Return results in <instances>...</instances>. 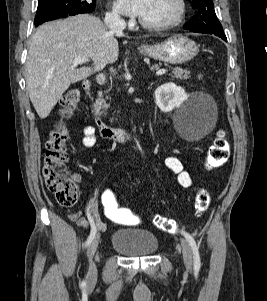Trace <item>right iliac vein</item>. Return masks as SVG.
<instances>
[{
	"label": "right iliac vein",
	"instance_id": "1",
	"mask_svg": "<svg viewBox=\"0 0 267 301\" xmlns=\"http://www.w3.org/2000/svg\"><path fill=\"white\" fill-rule=\"evenodd\" d=\"M99 240H100V234L97 233L93 238V240L91 241V243L89 244L88 251H87V256L89 260V269H88L87 278L89 282L94 281L97 277V269L95 263L93 262V257L97 251Z\"/></svg>",
	"mask_w": 267,
	"mask_h": 301
}]
</instances>
